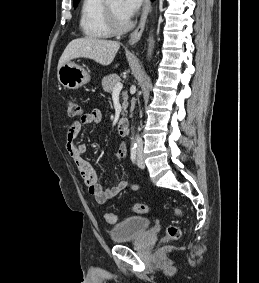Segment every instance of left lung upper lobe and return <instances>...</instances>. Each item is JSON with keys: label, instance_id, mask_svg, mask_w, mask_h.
<instances>
[{"label": "left lung upper lobe", "instance_id": "obj_1", "mask_svg": "<svg viewBox=\"0 0 259 283\" xmlns=\"http://www.w3.org/2000/svg\"><path fill=\"white\" fill-rule=\"evenodd\" d=\"M80 0H74V7H76L78 5Z\"/></svg>", "mask_w": 259, "mask_h": 283}]
</instances>
